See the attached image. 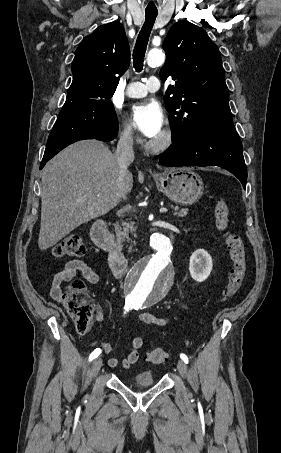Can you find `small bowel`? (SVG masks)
<instances>
[{
  "instance_id": "small-bowel-1",
  "label": "small bowel",
  "mask_w": 281,
  "mask_h": 453,
  "mask_svg": "<svg viewBox=\"0 0 281 453\" xmlns=\"http://www.w3.org/2000/svg\"><path fill=\"white\" fill-rule=\"evenodd\" d=\"M77 273H80L82 277L92 285H97L99 283V275L93 271L85 262L80 259L69 260L65 266L58 272H56L49 284L48 290L51 297L61 304H66V297L63 291V284L66 282L72 281ZM94 311L96 312V318L98 320L102 319L103 312L101 308L95 303L93 305ZM140 322L156 324V325H166L168 323L167 317H156L148 313H142L139 318ZM143 346V340L141 337L136 336L132 339L131 348L128 355L121 359L119 357H110L107 360V364L110 367H122L129 368L135 364L139 359V351ZM102 350L105 353H110L112 350L111 344L103 342Z\"/></svg>"
}]
</instances>
